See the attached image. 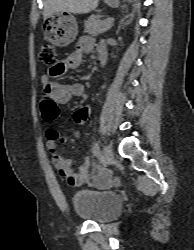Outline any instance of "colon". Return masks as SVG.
<instances>
[{
    "mask_svg": "<svg viewBox=\"0 0 194 250\" xmlns=\"http://www.w3.org/2000/svg\"><path fill=\"white\" fill-rule=\"evenodd\" d=\"M40 61L51 67V72L54 73V67L57 65V53L54 47L50 44H44L39 52ZM41 113L44 120H54L58 115V105L55 98L50 93H44L41 97Z\"/></svg>",
    "mask_w": 194,
    "mask_h": 250,
    "instance_id": "colon-1",
    "label": "colon"
}]
</instances>
